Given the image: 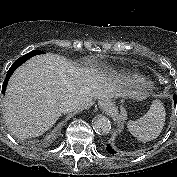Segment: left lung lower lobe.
<instances>
[{
	"instance_id": "1",
	"label": "left lung lower lobe",
	"mask_w": 177,
	"mask_h": 177,
	"mask_svg": "<svg viewBox=\"0 0 177 177\" xmlns=\"http://www.w3.org/2000/svg\"><path fill=\"white\" fill-rule=\"evenodd\" d=\"M173 99H174V104H176V102H177L176 94L173 96ZM106 150L111 154L116 153L109 144L107 145Z\"/></svg>"
}]
</instances>
